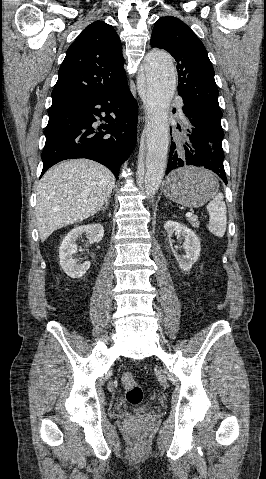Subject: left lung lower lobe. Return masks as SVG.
I'll return each mask as SVG.
<instances>
[{"label":"left lung lower lobe","instance_id":"obj_1","mask_svg":"<svg viewBox=\"0 0 266 479\" xmlns=\"http://www.w3.org/2000/svg\"><path fill=\"white\" fill-rule=\"evenodd\" d=\"M183 112L187 117L188 127L184 130L185 135L181 142L171 143L166 174L185 165H194L212 170L227 184L224 154L215 151V145L184 107ZM177 128L181 131L180 127Z\"/></svg>","mask_w":266,"mask_h":479}]
</instances>
